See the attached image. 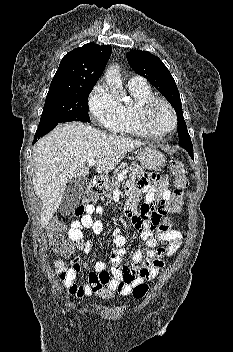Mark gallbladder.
Segmentation results:
<instances>
[{"label":"gallbladder","mask_w":233,"mask_h":352,"mask_svg":"<svg viewBox=\"0 0 233 352\" xmlns=\"http://www.w3.org/2000/svg\"><path fill=\"white\" fill-rule=\"evenodd\" d=\"M88 186L89 182L86 180L78 178L69 179L65 187L59 211L65 214L72 211L79 204Z\"/></svg>","instance_id":"gallbladder-1"}]
</instances>
